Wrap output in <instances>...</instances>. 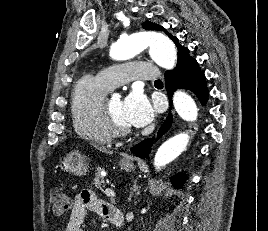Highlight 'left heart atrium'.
Here are the masks:
<instances>
[{
  "label": "left heart atrium",
  "instance_id": "39dd6f15",
  "mask_svg": "<svg viewBox=\"0 0 268 231\" xmlns=\"http://www.w3.org/2000/svg\"><path fill=\"white\" fill-rule=\"evenodd\" d=\"M123 105L126 119L132 127H143L155 116L149 99L140 89L134 88L125 98Z\"/></svg>",
  "mask_w": 268,
  "mask_h": 231
}]
</instances>
